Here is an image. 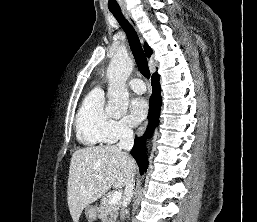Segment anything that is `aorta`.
I'll return each instance as SVG.
<instances>
[{"label":"aorta","mask_w":257,"mask_h":222,"mask_svg":"<svg viewBox=\"0 0 257 222\" xmlns=\"http://www.w3.org/2000/svg\"><path fill=\"white\" fill-rule=\"evenodd\" d=\"M133 66V61L124 51H118L108 66V105L106 111L111 116H119L127 111L129 93L126 88V81Z\"/></svg>","instance_id":"aorta-1"}]
</instances>
